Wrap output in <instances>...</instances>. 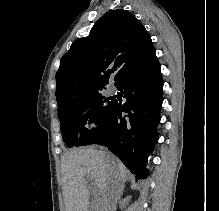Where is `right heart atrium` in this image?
<instances>
[{
    "mask_svg": "<svg viewBox=\"0 0 219 211\" xmlns=\"http://www.w3.org/2000/svg\"><path fill=\"white\" fill-rule=\"evenodd\" d=\"M87 123L91 126V127H95L98 123L97 118L93 117V116H89L87 119Z\"/></svg>",
    "mask_w": 219,
    "mask_h": 211,
    "instance_id": "d8ad5b80",
    "label": "right heart atrium"
}]
</instances>
